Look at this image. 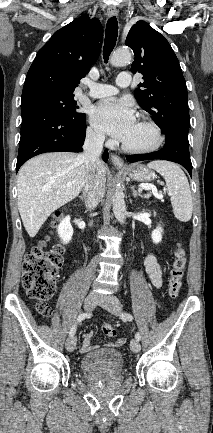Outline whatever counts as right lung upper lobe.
I'll list each match as a JSON object with an SVG mask.
<instances>
[{
	"mask_svg": "<svg viewBox=\"0 0 213 433\" xmlns=\"http://www.w3.org/2000/svg\"><path fill=\"white\" fill-rule=\"evenodd\" d=\"M103 28L83 15L56 31L38 51L23 87L22 96L36 92L73 95L99 57Z\"/></svg>",
	"mask_w": 213,
	"mask_h": 433,
	"instance_id": "cb5924a9",
	"label": "right lung upper lobe"
}]
</instances>
